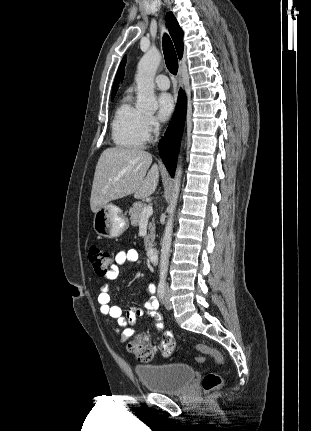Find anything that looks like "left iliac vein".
Returning <instances> with one entry per match:
<instances>
[{"label": "left iliac vein", "mask_w": 311, "mask_h": 431, "mask_svg": "<svg viewBox=\"0 0 311 431\" xmlns=\"http://www.w3.org/2000/svg\"><path fill=\"white\" fill-rule=\"evenodd\" d=\"M165 307L167 310H170L172 308L171 302L169 301V291L166 290L165 293Z\"/></svg>", "instance_id": "left-iliac-vein-1"}]
</instances>
